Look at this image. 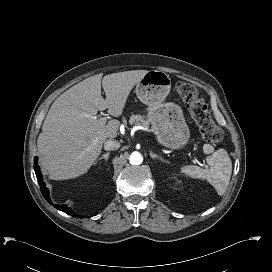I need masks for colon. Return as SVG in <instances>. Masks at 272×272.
<instances>
[{
	"mask_svg": "<svg viewBox=\"0 0 272 272\" xmlns=\"http://www.w3.org/2000/svg\"><path fill=\"white\" fill-rule=\"evenodd\" d=\"M174 91L186 104L203 138L212 144L220 143L223 138L222 132L211 120L206 103L200 97L198 90L188 82L178 81L174 86Z\"/></svg>",
	"mask_w": 272,
	"mask_h": 272,
	"instance_id": "5ec220e1",
	"label": "colon"
}]
</instances>
